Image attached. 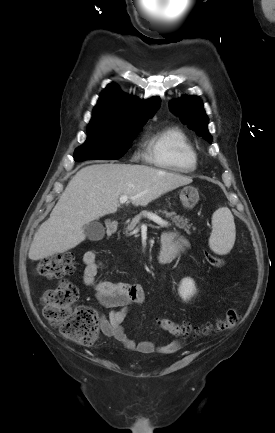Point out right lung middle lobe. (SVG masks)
Instances as JSON below:
<instances>
[{
	"label": "right lung middle lobe",
	"mask_w": 275,
	"mask_h": 433,
	"mask_svg": "<svg viewBox=\"0 0 275 433\" xmlns=\"http://www.w3.org/2000/svg\"><path fill=\"white\" fill-rule=\"evenodd\" d=\"M146 122L105 124L90 122L85 143L74 152V160L119 159Z\"/></svg>",
	"instance_id": "obj_1"
}]
</instances>
